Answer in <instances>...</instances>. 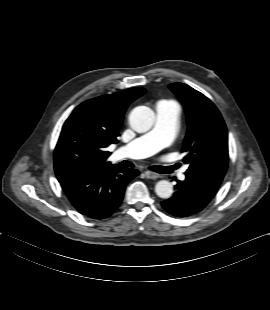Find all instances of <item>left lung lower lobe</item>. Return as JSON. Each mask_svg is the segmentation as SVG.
Segmentation results:
<instances>
[{
    "mask_svg": "<svg viewBox=\"0 0 270 310\" xmlns=\"http://www.w3.org/2000/svg\"><path fill=\"white\" fill-rule=\"evenodd\" d=\"M186 179L178 181L174 195L162 201L163 208L177 217H188L202 211L217 193L222 180L185 173Z\"/></svg>",
    "mask_w": 270,
    "mask_h": 310,
    "instance_id": "obj_1",
    "label": "left lung lower lobe"
}]
</instances>
